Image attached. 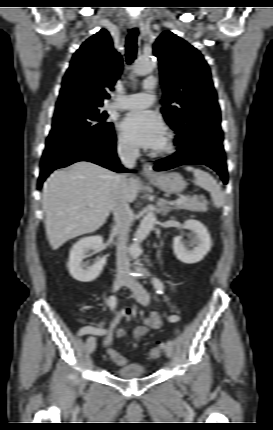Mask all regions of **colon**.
Listing matches in <instances>:
<instances>
[{
	"label": "colon",
	"instance_id": "5ec220e1",
	"mask_svg": "<svg viewBox=\"0 0 273 430\" xmlns=\"http://www.w3.org/2000/svg\"><path fill=\"white\" fill-rule=\"evenodd\" d=\"M162 344H158L154 347H152L149 351H148V357L150 359H157L160 357L161 352H162ZM109 356L110 358L117 364L120 366H123L127 363V359L123 356H121L117 351L115 350H110L109 352Z\"/></svg>",
	"mask_w": 273,
	"mask_h": 430
}]
</instances>
